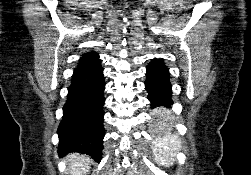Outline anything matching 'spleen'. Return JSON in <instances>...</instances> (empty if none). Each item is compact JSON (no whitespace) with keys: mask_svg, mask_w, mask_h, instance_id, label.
<instances>
[{"mask_svg":"<svg viewBox=\"0 0 251 175\" xmlns=\"http://www.w3.org/2000/svg\"><path fill=\"white\" fill-rule=\"evenodd\" d=\"M165 111L166 109L159 111V113H165ZM159 113H157V115L161 117ZM161 141L162 143H154V145H152L155 153V161H157L159 165L169 167V161H173L174 151H179L181 141L178 139V135H169L168 131H164Z\"/></svg>","mask_w":251,"mask_h":175,"instance_id":"1","label":"spleen"}]
</instances>
